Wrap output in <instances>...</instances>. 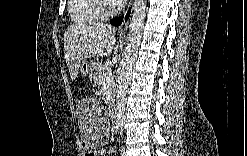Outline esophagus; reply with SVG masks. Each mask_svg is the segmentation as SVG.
<instances>
[{"mask_svg": "<svg viewBox=\"0 0 247 156\" xmlns=\"http://www.w3.org/2000/svg\"><path fill=\"white\" fill-rule=\"evenodd\" d=\"M132 12H133V0H130L126 10L124 11V16H123V21L120 24L118 31L120 33H125L128 30L129 22L132 17Z\"/></svg>", "mask_w": 247, "mask_h": 156, "instance_id": "esophagus-1", "label": "esophagus"}]
</instances>
